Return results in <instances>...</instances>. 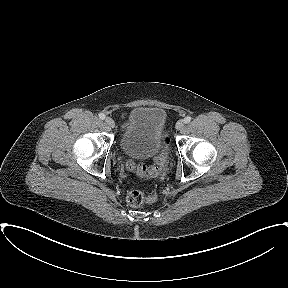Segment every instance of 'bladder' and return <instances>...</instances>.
<instances>
[{
	"instance_id": "obj_1",
	"label": "bladder",
	"mask_w": 288,
	"mask_h": 288,
	"mask_svg": "<svg viewBox=\"0 0 288 288\" xmlns=\"http://www.w3.org/2000/svg\"><path fill=\"white\" fill-rule=\"evenodd\" d=\"M166 113L162 108L139 106L128 118L120 138V148L128 156L151 157L166 144Z\"/></svg>"
}]
</instances>
